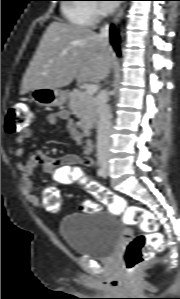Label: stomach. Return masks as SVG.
Segmentation results:
<instances>
[{
    "label": "stomach",
    "instance_id": "stomach-1",
    "mask_svg": "<svg viewBox=\"0 0 180 299\" xmlns=\"http://www.w3.org/2000/svg\"><path fill=\"white\" fill-rule=\"evenodd\" d=\"M32 100L39 106H61L66 103L65 91L53 88H38L32 91Z\"/></svg>",
    "mask_w": 180,
    "mask_h": 299
}]
</instances>
